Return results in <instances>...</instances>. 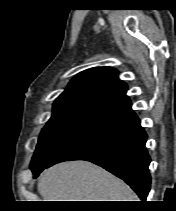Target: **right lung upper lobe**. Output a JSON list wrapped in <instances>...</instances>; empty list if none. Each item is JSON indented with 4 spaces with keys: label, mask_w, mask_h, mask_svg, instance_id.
<instances>
[{
    "label": "right lung upper lobe",
    "mask_w": 176,
    "mask_h": 211,
    "mask_svg": "<svg viewBox=\"0 0 176 211\" xmlns=\"http://www.w3.org/2000/svg\"><path fill=\"white\" fill-rule=\"evenodd\" d=\"M127 85L110 67H95L76 75L53 104V115L101 123L132 111Z\"/></svg>",
    "instance_id": "1"
}]
</instances>
